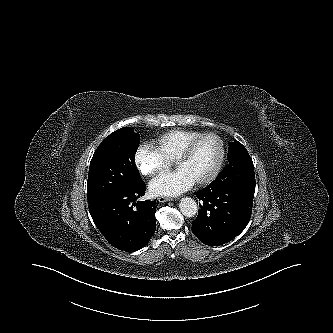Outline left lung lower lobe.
<instances>
[{
  "mask_svg": "<svg viewBox=\"0 0 333 333\" xmlns=\"http://www.w3.org/2000/svg\"><path fill=\"white\" fill-rule=\"evenodd\" d=\"M230 170L221 172L208 187L195 192L202 203H199L198 216L192 222V232L209 246L234 239L251 217L254 194L237 188Z\"/></svg>",
  "mask_w": 333,
  "mask_h": 333,
  "instance_id": "1",
  "label": "left lung lower lobe"
}]
</instances>
